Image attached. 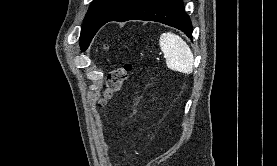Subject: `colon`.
<instances>
[{
	"mask_svg": "<svg viewBox=\"0 0 277 166\" xmlns=\"http://www.w3.org/2000/svg\"><path fill=\"white\" fill-rule=\"evenodd\" d=\"M132 72V65L125 63L109 72L105 79V87L99 106H104L116 93H118Z\"/></svg>",
	"mask_w": 277,
	"mask_h": 166,
	"instance_id": "colon-1",
	"label": "colon"
}]
</instances>
